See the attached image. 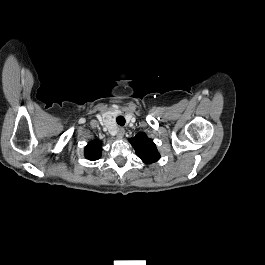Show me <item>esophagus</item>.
I'll return each instance as SVG.
<instances>
[{
    "label": "esophagus",
    "instance_id": "1",
    "mask_svg": "<svg viewBox=\"0 0 265 265\" xmlns=\"http://www.w3.org/2000/svg\"><path fill=\"white\" fill-rule=\"evenodd\" d=\"M124 133H125L124 128L120 127V128L117 129V137H118L119 139H122V138H123Z\"/></svg>",
    "mask_w": 265,
    "mask_h": 265
}]
</instances>
